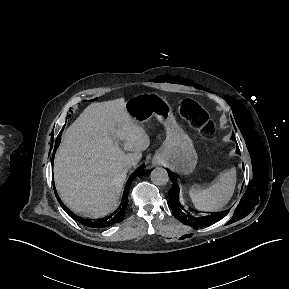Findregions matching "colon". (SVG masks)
Masks as SVG:
<instances>
[{"mask_svg": "<svg viewBox=\"0 0 289 289\" xmlns=\"http://www.w3.org/2000/svg\"><path fill=\"white\" fill-rule=\"evenodd\" d=\"M180 109L191 119L195 120L202 126L207 125L206 116L203 110L194 101L186 99L182 100L179 104Z\"/></svg>", "mask_w": 289, "mask_h": 289, "instance_id": "1", "label": "colon"}]
</instances>
